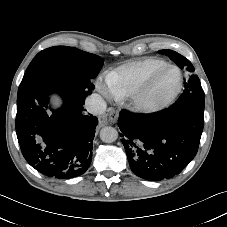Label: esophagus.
<instances>
[{
	"mask_svg": "<svg viewBox=\"0 0 227 227\" xmlns=\"http://www.w3.org/2000/svg\"><path fill=\"white\" fill-rule=\"evenodd\" d=\"M118 116H119V112L116 110H112L107 114L106 119L105 118L100 119L99 122L103 124L105 123V121L108 120L111 123H115L118 119Z\"/></svg>",
	"mask_w": 227,
	"mask_h": 227,
	"instance_id": "1",
	"label": "esophagus"
}]
</instances>
